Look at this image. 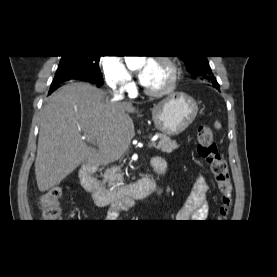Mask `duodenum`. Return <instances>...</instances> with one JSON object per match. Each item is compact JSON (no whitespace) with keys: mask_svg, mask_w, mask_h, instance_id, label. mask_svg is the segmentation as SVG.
Listing matches in <instances>:
<instances>
[{"mask_svg":"<svg viewBox=\"0 0 277 277\" xmlns=\"http://www.w3.org/2000/svg\"><path fill=\"white\" fill-rule=\"evenodd\" d=\"M155 160L159 168L165 171L163 159L155 157ZM94 169L93 164L83 165L79 171V177L85 190L93 194L98 207L114 204L118 208H129L135 199H143L159 189V185L154 180L141 178L134 183L110 191L94 176Z\"/></svg>","mask_w":277,"mask_h":277,"instance_id":"duodenum-1","label":"duodenum"}]
</instances>
